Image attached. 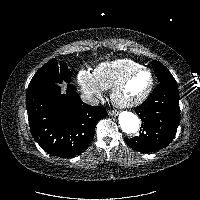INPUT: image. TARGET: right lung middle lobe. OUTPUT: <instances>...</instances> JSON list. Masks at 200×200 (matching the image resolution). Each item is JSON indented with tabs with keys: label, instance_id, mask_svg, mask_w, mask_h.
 Instances as JSON below:
<instances>
[{
	"label": "right lung middle lobe",
	"instance_id": "1",
	"mask_svg": "<svg viewBox=\"0 0 200 200\" xmlns=\"http://www.w3.org/2000/svg\"><path fill=\"white\" fill-rule=\"evenodd\" d=\"M71 74L72 72L68 70L65 64L58 65L57 60L53 58L35 73L28 88L49 83H61L63 81L69 83Z\"/></svg>",
	"mask_w": 200,
	"mask_h": 200
}]
</instances>
